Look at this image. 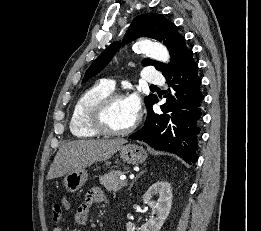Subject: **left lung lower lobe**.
Listing matches in <instances>:
<instances>
[{
	"instance_id": "1",
	"label": "left lung lower lobe",
	"mask_w": 261,
	"mask_h": 231,
	"mask_svg": "<svg viewBox=\"0 0 261 231\" xmlns=\"http://www.w3.org/2000/svg\"><path fill=\"white\" fill-rule=\"evenodd\" d=\"M164 76L172 91L169 89L166 103L160 106L162 114L154 113L152 109L158 102L155 98L147 107L144 126L129 139L143 141L156 150L174 153L188 164H195L203 100L198 64L191 54Z\"/></svg>"
}]
</instances>
